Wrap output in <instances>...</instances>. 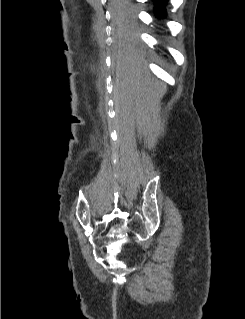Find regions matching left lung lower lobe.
<instances>
[{"instance_id": "0a47b994", "label": "left lung lower lobe", "mask_w": 245, "mask_h": 319, "mask_svg": "<svg viewBox=\"0 0 245 319\" xmlns=\"http://www.w3.org/2000/svg\"><path fill=\"white\" fill-rule=\"evenodd\" d=\"M155 4V13L159 16L162 17L165 15L164 12V7L165 4L168 0H153Z\"/></svg>"}]
</instances>
